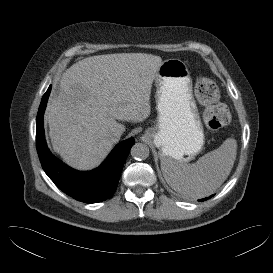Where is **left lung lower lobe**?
Masks as SVG:
<instances>
[{"mask_svg": "<svg viewBox=\"0 0 273 273\" xmlns=\"http://www.w3.org/2000/svg\"><path fill=\"white\" fill-rule=\"evenodd\" d=\"M212 196H213V195H212ZM212 196H210V197H208V198H211ZM208 198L202 199V201L207 200Z\"/></svg>", "mask_w": 273, "mask_h": 273, "instance_id": "1", "label": "left lung lower lobe"}]
</instances>
